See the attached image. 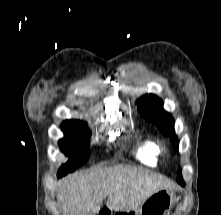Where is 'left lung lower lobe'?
Wrapping results in <instances>:
<instances>
[{
  "label": "left lung lower lobe",
  "mask_w": 221,
  "mask_h": 215,
  "mask_svg": "<svg viewBox=\"0 0 221 215\" xmlns=\"http://www.w3.org/2000/svg\"><path fill=\"white\" fill-rule=\"evenodd\" d=\"M178 183L181 184L182 186L185 185L184 181H182V180H181V181H178Z\"/></svg>",
  "instance_id": "left-lung-lower-lobe-1"
}]
</instances>
